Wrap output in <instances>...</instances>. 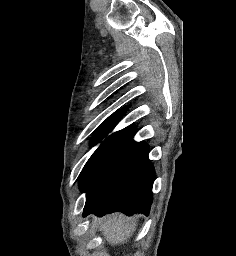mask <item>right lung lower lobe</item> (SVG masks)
<instances>
[{
    "mask_svg": "<svg viewBox=\"0 0 236 256\" xmlns=\"http://www.w3.org/2000/svg\"><path fill=\"white\" fill-rule=\"evenodd\" d=\"M145 142L133 144L107 165L84 190L83 216L112 212L149 214L155 170Z\"/></svg>",
    "mask_w": 236,
    "mask_h": 256,
    "instance_id": "1",
    "label": "right lung lower lobe"
}]
</instances>
